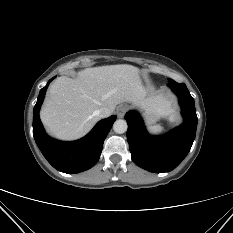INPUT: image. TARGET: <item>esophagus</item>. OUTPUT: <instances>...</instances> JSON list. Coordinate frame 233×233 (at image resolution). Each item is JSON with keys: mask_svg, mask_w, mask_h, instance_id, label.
I'll use <instances>...</instances> for the list:
<instances>
[{"mask_svg": "<svg viewBox=\"0 0 233 233\" xmlns=\"http://www.w3.org/2000/svg\"><path fill=\"white\" fill-rule=\"evenodd\" d=\"M128 108L126 105H120L118 108H117V115L119 118H122L124 117V115L126 114Z\"/></svg>", "mask_w": 233, "mask_h": 233, "instance_id": "1", "label": "esophagus"}]
</instances>
